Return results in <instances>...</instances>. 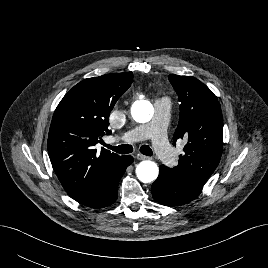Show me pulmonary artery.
Here are the masks:
<instances>
[{"mask_svg":"<svg viewBox=\"0 0 268 268\" xmlns=\"http://www.w3.org/2000/svg\"><path fill=\"white\" fill-rule=\"evenodd\" d=\"M155 120L146 125H140L131 129L125 136L128 143L140 142L148 138L152 139L155 153L167 164H175L173 150L166 139L167 118L169 115L170 104L167 99L160 98L154 102ZM117 141L113 137L112 142Z\"/></svg>","mask_w":268,"mask_h":268,"instance_id":"e3ab8cb5","label":"pulmonary artery"}]
</instances>
